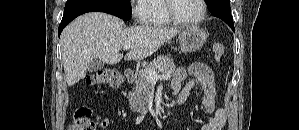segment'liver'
Returning a JSON list of instances; mask_svg holds the SVG:
<instances>
[{"instance_id":"obj_1","label":"liver","mask_w":299,"mask_h":130,"mask_svg":"<svg viewBox=\"0 0 299 130\" xmlns=\"http://www.w3.org/2000/svg\"><path fill=\"white\" fill-rule=\"evenodd\" d=\"M180 33V29L149 26L125 27L112 15L90 12L73 20L61 34V52L66 81L74 85L86 76L88 65L98 58L108 64L120 62V50L132 46L125 60H140L154 54L163 44Z\"/></svg>"}]
</instances>
